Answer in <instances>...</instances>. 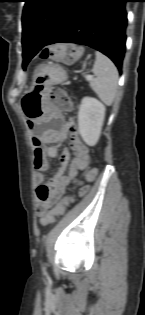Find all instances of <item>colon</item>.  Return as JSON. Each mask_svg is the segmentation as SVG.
Here are the masks:
<instances>
[{"instance_id": "obj_1", "label": "colon", "mask_w": 145, "mask_h": 315, "mask_svg": "<svg viewBox=\"0 0 145 315\" xmlns=\"http://www.w3.org/2000/svg\"><path fill=\"white\" fill-rule=\"evenodd\" d=\"M79 56L80 49L72 44L55 45L41 52V57L44 59L60 60L67 63L76 60ZM51 99L54 105L62 110H69L72 106L71 98L65 90L58 88L53 89ZM72 200L71 197H66L50 210L45 217L46 224L53 223L59 216L64 214Z\"/></svg>"}]
</instances>
